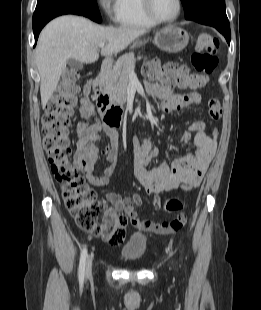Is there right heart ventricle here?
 I'll return each mask as SVG.
<instances>
[{
  "label": "right heart ventricle",
  "instance_id": "1",
  "mask_svg": "<svg viewBox=\"0 0 261 310\" xmlns=\"http://www.w3.org/2000/svg\"><path fill=\"white\" fill-rule=\"evenodd\" d=\"M116 24L130 29H149L157 24L145 13L142 0H115Z\"/></svg>",
  "mask_w": 261,
  "mask_h": 310
}]
</instances>
